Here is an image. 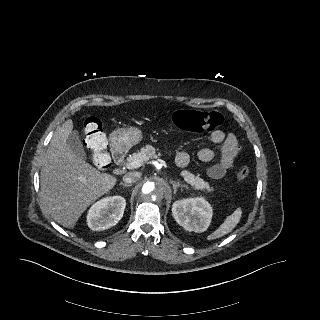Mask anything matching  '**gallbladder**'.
Instances as JSON below:
<instances>
[{
    "instance_id": "1",
    "label": "gallbladder",
    "mask_w": 320,
    "mask_h": 320,
    "mask_svg": "<svg viewBox=\"0 0 320 320\" xmlns=\"http://www.w3.org/2000/svg\"><path fill=\"white\" fill-rule=\"evenodd\" d=\"M67 146L69 149L79 158L85 159L86 152L83 148V145L79 139V135L76 131H72L67 138L66 141Z\"/></svg>"
}]
</instances>
